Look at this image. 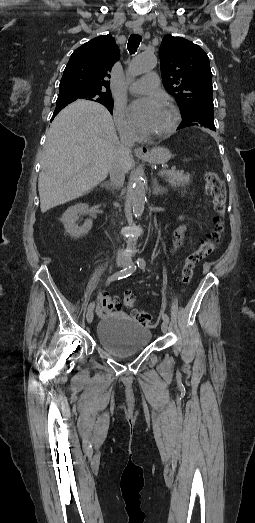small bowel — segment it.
I'll return each mask as SVG.
<instances>
[{
    "mask_svg": "<svg viewBox=\"0 0 255 523\" xmlns=\"http://www.w3.org/2000/svg\"><path fill=\"white\" fill-rule=\"evenodd\" d=\"M185 228L183 226L178 227L173 234V248L176 250L183 242Z\"/></svg>",
    "mask_w": 255,
    "mask_h": 523,
    "instance_id": "c3829d8e",
    "label": "small bowel"
}]
</instances>
